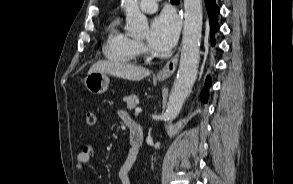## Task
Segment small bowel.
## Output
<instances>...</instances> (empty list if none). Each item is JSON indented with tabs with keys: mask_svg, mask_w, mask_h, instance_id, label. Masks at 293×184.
<instances>
[{
	"mask_svg": "<svg viewBox=\"0 0 293 184\" xmlns=\"http://www.w3.org/2000/svg\"><path fill=\"white\" fill-rule=\"evenodd\" d=\"M119 115L125 122L131 119L127 112L123 110L119 111ZM137 155L138 154L133 152L131 149L128 151V154L121 167L119 168L117 175L120 184H132L130 179V171L137 159ZM93 156V146L91 144L84 145L76 158V171H82L83 167L92 161Z\"/></svg>",
	"mask_w": 293,
	"mask_h": 184,
	"instance_id": "obj_1",
	"label": "small bowel"
}]
</instances>
